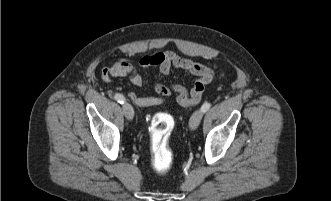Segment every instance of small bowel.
<instances>
[{"label": "small bowel", "instance_id": "c3829d8e", "mask_svg": "<svg viewBox=\"0 0 331 201\" xmlns=\"http://www.w3.org/2000/svg\"><path fill=\"white\" fill-rule=\"evenodd\" d=\"M139 65L143 69L158 67L160 74L164 76H167L173 68L183 70L184 72L198 76L199 78L205 76L212 78L213 76V72L210 68L184 58L173 51L146 55L139 60ZM112 77H127L130 83L134 86H141L143 83L142 76L132 62L125 58L116 61L112 66L105 68L102 71V78L105 81H109ZM154 89L159 94V97L142 98L134 92H131L129 97L136 104L146 106L159 104L171 94V89L162 83H156ZM172 89L177 92L178 101L180 103L183 99L188 97V91L185 87L181 85H173Z\"/></svg>", "mask_w": 331, "mask_h": 201}]
</instances>
